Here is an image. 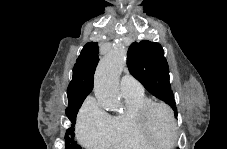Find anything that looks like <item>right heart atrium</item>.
<instances>
[{"instance_id": "d8ad5b80", "label": "right heart atrium", "mask_w": 227, "mask_h": 149, "mask_svg": "<svg viewBox=\"0 0 227 149\" xmlns=\"http://www.w3.org/2000/svg\"><path fill=\"white\" fill-rule=\"evenodd\" d=\"M110 119L94 98H88L77 118V134L82 145L89 149L105 147L109 139Z\"/></svg>"}]
</instances>
